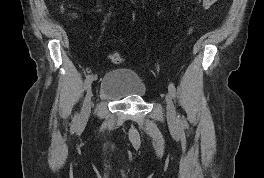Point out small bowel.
<instances>
[{
    "label": "small bowel",
    "mask_w": 264,
    "mask_h": 178,
    "mask_svg": "<svg viewBox=\"0 0 264 178\" xmlns=\"http://www.w3.org/2000/svg\"><path fill=\"white\" fill-rule=\"evenodd\" d=\"M208 2H206L205 3V8H210V7H212L216 2H217V0H207Z\"/></svg>",
    "instance_id": "small-bowel-1"
}]
</instances>
